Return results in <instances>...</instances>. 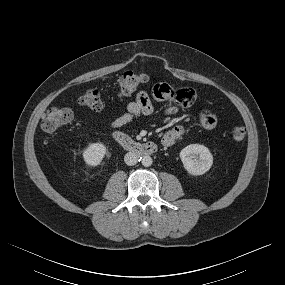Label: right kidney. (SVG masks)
Masks as SVG:
<instances>
[{
  "mask_svg": "<svg viewBox=\"0 0 285 285\" xmlns=\"http://www.w3.org/2000/svg\"><path fill=\"white\" fill-rule=\"evenodd\" d=\"M106 154L102 143H92L83 151V159L88 167L98 166Z\"/></svg>",
  "mask_w": 285,
  "mask_h": 285,
  "instance_id": "obj_1",
  "label": "right kidney"
}]
</instances>
